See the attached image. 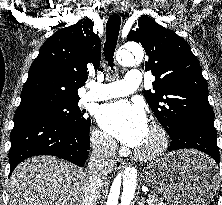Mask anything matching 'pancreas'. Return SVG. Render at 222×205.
<instances>
[{
  "label": "pancreas",
  "instance_id": "cf45deb5",
  "mask_svg": "<svg viewBox=\"0 0 222 205\" xmlns=\"http://www.w3.org/2000/svg\"><path fill=\"white\" fill-rule=\"evenodd\" d=\"M147 201L148 205H166L163 199L156 195H150Z\"/></svg>",
  "mask_w": 222,
  "mask_h": 205
}]
</instances>
